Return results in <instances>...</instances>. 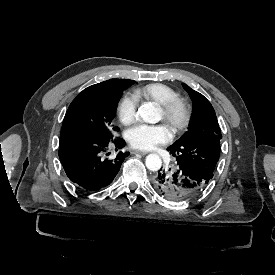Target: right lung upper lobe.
I'll return each instance as SVG.
<instances>
[{
  "label": "right lung upper lobe",
  "instance_id": "1",
  "mask_svg": "<svg viewBox=\"0 0 275 275\" xmlns=\"http://www.w3.org/2000/svg\"><path fill=\"white\" fill-rule=\"evenodd\" d=\"M132 82H133L132 80H128V79H110V80L92 85V86L88 87V89L109 87V86H118V85H129Z\"/></svg>",
  "mask_w": 275,
  "mask_h": 275
}]
</instances>
